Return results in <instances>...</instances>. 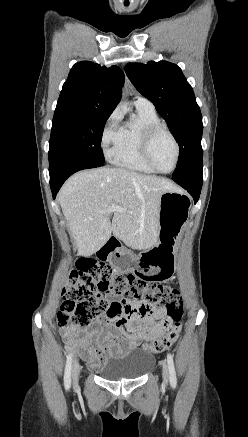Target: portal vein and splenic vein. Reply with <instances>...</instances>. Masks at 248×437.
Wrapping results in <instances>:
<instances>
[{
	"label": "portal vein and splenic vein",
	"mask_w": 248,
	"mask_h": 437,
	"mask_svg": "<svg viewBox=\"0 0 248 437\" xmlns=\"http://www.w3.org/2000/svg\"><path fill=\"white\" fill-rule=\"evenodd\" d=\"M116 211H124V209L119 207V206H117L116 204H112L109 207V212H116Z\"/></svg>",
	"instance_id": "portal-vein-and-splenic-vein-1"
}]
</instances>
